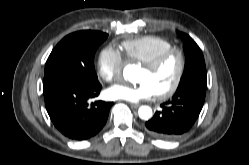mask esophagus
Wrapping results in <instances>:
<instances>
[{"label":"esophagus","instance_id":"esophagus-1","mask_svg":"<svg viewBox=\"0 0 249 165\" xmlns=\"http://www.w3.org/2000/svg\"><path fill=\"white\" fill-rule=\"evenodd\" d=\"M130 106L132 108H138L140 106V104H136V103H131Z\"/></svg>","mask_w":249,"mask_h":165}]
</instances>
